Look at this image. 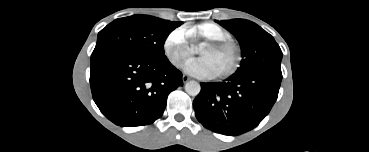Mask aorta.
<instances>
[{
  "label": "aorta",
  "mask_w": 369,
  "mask_h": 152,
  "mask_svg": "<svg viewBox=\"0 0 369 152\" xmlns=\"http://www.w3.org/2000/svg\"><path fill=\"white\" fill-rule=\"evenodd\" d=\"M201 86L196 81H188L185 84V91L190 96H197L200 93Z\"/></svg>",
  "instance_id": "obj_1"
}]
</instances>
